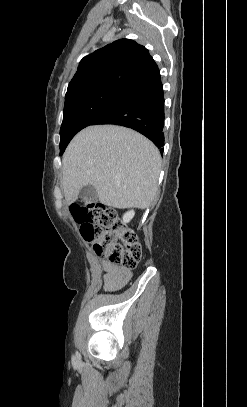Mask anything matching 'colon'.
Masks as SVG:
<instances>
[{
  "label": "colon",
  "instance_id": "obj_1",
  "mask_svg": "<svg viewBox=\"0 0 247 407\" xmlns=\"http://www.w3.org/2000/svg\"><path fill=\"white\" fill-rule=\"evenodd\" d=\"M70 211L80 226L82 237L93 243L98 256L126 269L137 266L142 256L138 236L119 220L113 209L92 202L73 204Z\"/></svg>",
  "mask_w": 247,
  "mask_h": 407
}]
</instances>
